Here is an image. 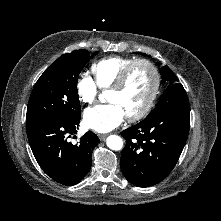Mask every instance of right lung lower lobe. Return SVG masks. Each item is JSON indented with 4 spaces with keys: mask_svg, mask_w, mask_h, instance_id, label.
Instances as JSON below:
<instances>
[{
    "mask_svg": "<svg viewBox=\"0 0 221 221\" xmlns=\"http://www.w3.org/2000/svg\"><path fill=\"white\" fill-rule=\"evenodd\" d=\"M80 117H47L26 124L32 152L42 170L60 184L79 183L90 171L92 150L99 143L96 134L88 131L78 144L68 138L77 133Z\"/></svg>",
    "mask_w": 221,
    "mask_h": 221,
    "instance_id": "98d812e1",
    "label": "right lung lower lobe"
}]
</instances>
